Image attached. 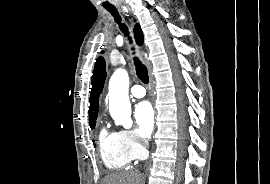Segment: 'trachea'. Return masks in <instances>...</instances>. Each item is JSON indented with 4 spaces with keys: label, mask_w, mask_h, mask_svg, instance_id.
<instances>
[{
    "label": "trachea",
    "mask_w": 270,
    "mask_h": 184,
    "mask_svg": "<svg viewBox=\"0 0 270 184\" xmlns=\"http://www.w3.org/2000/svg\"><path fill=\"white\" fill-rule=\"evenodd\" d=\"M108 11L113 15V17L115 18V21L120 24V29L122 30V32L126 36H128L129 35L128 29H127L126 25L120 23L121 22V18H120L119 14H118V11L116 9H109ZM134 60H135V66H136V74H137L138 78L143 83H148L149 77H148V71H147L146 66L143 65L137 59V57H135Z\"/></svg>",
    "instance_id": "3493384b"
}]
</instances>
